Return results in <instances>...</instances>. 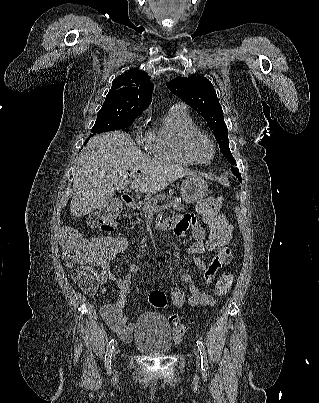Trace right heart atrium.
<instances>
[{
	"instance_id": "d8ad5b80",
	"label": "right heart atrium",
	"mask_w": 319,
	"mask_h": 403,
	"mask_svg": "<svg viewBox=\"0 0 319 403\" xmlns=\"http://www.w3.org/2000/svg\"><path fill=\"white\" fill-rule=\"evenodd\" d=\"M144 114L141 115L136 121V127L139 128V125L143 121ZM135 138L138 145L142 147H149L151 141V132L143 133L141 130H137L135 132Z\"/></svg>"
}]
</instances>
